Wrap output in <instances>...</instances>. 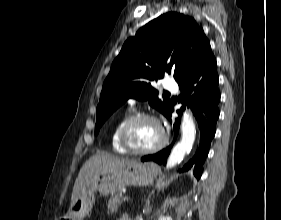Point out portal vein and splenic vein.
<instances>
[{
  "mask_svg": "<svg viewBox=\"0 0 281 220\" xmlns=\"http://www.w3.org/2000/svg\"><path fill=\"white\" fill-rule=\"evenodd\" d=\"M124 202H127V201H129V197H123V199H122Z\"/></svg>",
  "mask_w": 281,
  "mask_h": 220,
  "instance_id": "obj_1",
  "label": "portal vein and splenic vein"
}]
</instances>
